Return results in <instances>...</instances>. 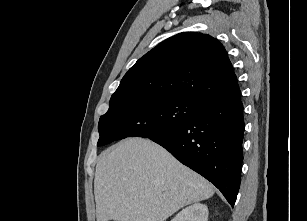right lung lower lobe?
Segmentation results:
<instances>
[{"instance_id": "obj_1", "label": "right lung lower lobe", "mask_w": 307, "mask_h": 221, "mask_svg": "<svg viewBox=\"0 0 307 221\" xmlns=\"http://www.w3.org/2000/svg\"><path fill=\"white\" fill-rule=\"evenodd\" d=\"M243 134L239 93L207 103L187 123L148 138L208 179L233 206L240 187Z\"/></svg>"}]
</instances>
